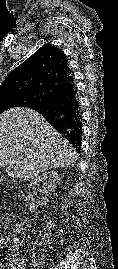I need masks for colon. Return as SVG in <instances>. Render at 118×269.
Here are the masks:
<instances>
[{"mask_svg": "<svg viewBox=\"0 0 118 269\" xmlns=\"http://www.w3.org/2000/svg\"><path fill=\"white\" fill-rule=\"evenodd\" d=\"M17 239L13 235L0 238V265H10L15 258Z\"/></svg>", "mask_w": 118, "mask_h": 269, "instance_id": "obj_1", "label": "colon"}]
</instances>
